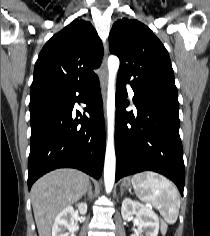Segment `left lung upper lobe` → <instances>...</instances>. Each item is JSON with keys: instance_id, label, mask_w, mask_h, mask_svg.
Instances as JSON below:
<instances>
[{"instance_id": "left-lung-upper-lobe-1", "label": "left lung upper lobe", "mask_w": 210, "mask_h": 236, "mask_svg": "<svg viewBox=\"0 0 210 236\" xmlns=\"http://www.w3.org/2000/svg\"><path fill=\"white\" fill-rule=\"evenodd\" d=\"M109 48L120 59L118 79L130 83L133 91L178 96L168 52L147 26L134 19L118 20Z\"/></svg>"}]
</instances>
